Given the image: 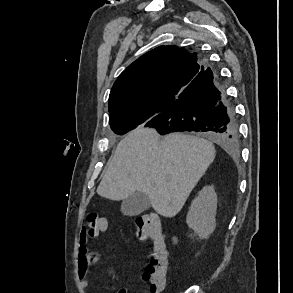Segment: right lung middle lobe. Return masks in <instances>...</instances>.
I'll return each mask as SVG.
<instances>
[{"instance_id":"1","label":"right lung middle lobe","mask_w":293,"mask_h":293,"mask_svg":"<svg viewBox=\"0 0 293 293\" xmlns=\"http://www.w3.org/2000/svg\"><path fill=\"white\" fill-rule=\"evenodd\" d=\"M153 110H136L130 113H124L109 118L111 129L119 135H123L128 131L136 128L142 123H146L153 116Z\"/></svg>"}]
</instances>
